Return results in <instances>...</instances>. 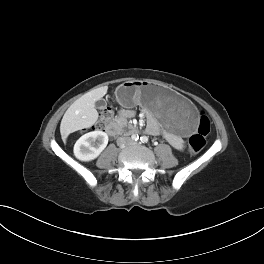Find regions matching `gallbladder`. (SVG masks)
<instances>
[{"instance_id": "1", "label": "gallbladder", "mask_w": 264, "mask_h": 264, "mask_svg": "<svg viewBox=\"0 0 264 264\" xmlns=\"http://www.w3.org/2000/svg\"><path fill=\"white\" fill-rule=\"evenodd\" d=\"M106 105V102L104 100H98L94 103V106L96 108H103Z\"/></svg>"}]
</instances>
